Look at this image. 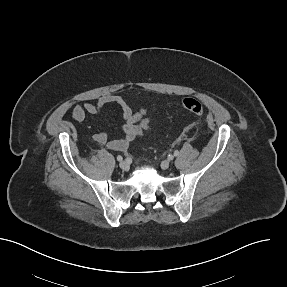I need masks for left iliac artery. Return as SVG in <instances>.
Wrapping results in <instances>:
<instances>
[{
	"label": "left iliac artery",
	"instance_id": "44dca946",
	"mask_svg": "<svg viewBox=\"0 0 287 287\" xmlns=\"http://www.w3.org/2000/svg\"><path fill=\"white\" fill-rule=\"evenodd\" d=\"M178 155H179V151L178 150L174 151V156H178Z\"/></svg>",
	"mask_w": 287,
	"mask_h": 287
}]
</instances>
